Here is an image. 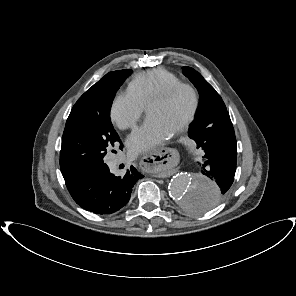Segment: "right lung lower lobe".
<instances>
[{
	"label": "right lung lower lobe",
	"mask_w": 296,
	"mask_h": 296,
	"mask_svg": "<svg viewBox=\"0 0 296 296\" xmlns=\"http://www.w3.org/2000/svg\"><path fill=\"white\" fill-rule=\"evenodd\" d=\"M142 177L133 166L123 177H116L102 163L65 179V183L74 201L83 209L95 214H112L129 202L135 182Z\"/></svg>",
	"instance_id": "right-lung-lower-lobe-1"
}]
</instances>
